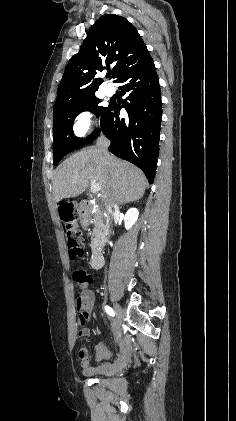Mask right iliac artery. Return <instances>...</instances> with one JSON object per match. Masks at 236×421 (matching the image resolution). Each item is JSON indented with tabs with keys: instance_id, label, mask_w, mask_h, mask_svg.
<instances>
[{
	"instance_id": "obj_1",
	"label": "right iliac artery",
	"mask_w": 236,
	"mask_h": 421,
	"mask_svg": "<svg viewBox=\"0 0 236 421\" xmlns=\"http://www.w3.org/2000/svg\"><path fill=\"white\" fill-rule=\"evenodd\" d=\"M105 310L110 316H115V313L111 307L105 306Z\"/></svg>"
}]
</instances>
